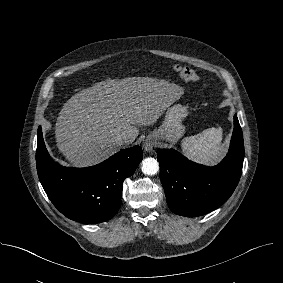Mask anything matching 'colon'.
Segmentation results:
<instances>
[{
    "label": "colon",
    "mask_w": 283,
    "mask_h": 283,
    "mask_svg": "<svg viewBox=\"0 0 283 283\" xmlns=\"http://www.w3.org/2000/svg\"><path fill=\"white\" fill-rule=\"evenodd\" d=\"M173 69L186 81L196 83L200 79L199 75L195 72V70L187 66L175 64L173 66Z\"/></svg>",
    "instance_id": "5ec220e1"
}]
</instances>
